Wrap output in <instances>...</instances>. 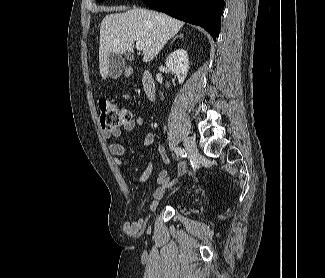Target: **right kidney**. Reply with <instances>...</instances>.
<instances>
[{
    "label": "right kidney",
    "mask_w": 325,
    "mask_h": 278,
    "mask_svg": "<svg viewBox=\"0 0 325 278\" xmlns=\"http://www.w3.org/2000/svg\"><path fill=\"white\" fill-rule=\"evenodd\" d=\"M166 67L176 74L179 84H182L189 69L188 55L185 50L177 49L166 59Z\"/></svg>",
    "instance_id": "obj_1"
}]
</instances>
